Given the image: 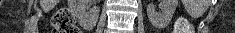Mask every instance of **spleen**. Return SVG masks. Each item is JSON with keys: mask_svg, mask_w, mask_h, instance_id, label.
<instances>
[{"mask_svg": "<svg viewBox=\"0 0 235 33\" xmlns=\"http://www.w3.org/2000/svg\"><path fill=\"white\" fill-rule=\"evenodd\" d=\"M192 13H193V14H195L196 12H195V11H193Z\"/></svg>", "mask_w": 235, "mask_h": 33, "instance_id": "3e777b00", "label": "spleen"}]
</instances>
